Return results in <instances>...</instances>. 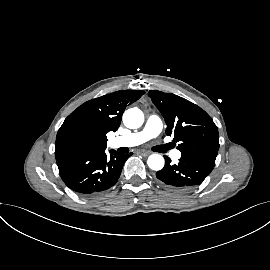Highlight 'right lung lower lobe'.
Here are the masks:
<instances>
[{"mask_svg":"<svg viewBox=\"0 0 270 270\" xmlns=\"http://www.w3.org/2000/svg\"><path fill=\"white\" fill-rule=\"evenodd\" d=\"M132 155L105 148H88L56 155L59 174L65 184L82 195H92L114 186L126 160Z\"/></svg>","mask_w":270,"mask_h":270,"instance_id":"1","label":"right lung lower lobe"}]
</instances>
